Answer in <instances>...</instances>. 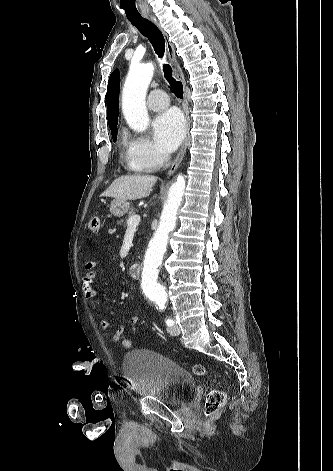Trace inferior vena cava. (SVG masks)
Segmentation results:
<instances>
[{
  "label": "inferior vena cava",
  "instance_id": "obj_1",
  "mask_svg": "<svg viewBox=\"0 0 333 471\" xmlns=\"http://www.w3.org/2000/svg\"><path fill=\"white\" fill-rule=\"evenodd\" d=\"M169 159H170V156L168 154H164V161L166 162V166H168Z\"/></svg>",
  "mask_w": 333,
  "mask_h": 471
}]
</instances>
